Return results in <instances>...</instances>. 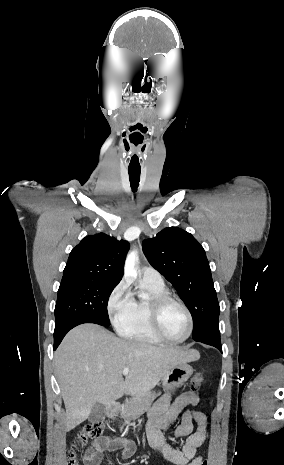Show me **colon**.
<instances>
[{"mask_svg": "<svg viewBox=\"0 0 284 465\" xmlns=\"http://www.w3.org/2000/svg\"><path fill=\"white\" fill-rule=\"evenodd\" d=\"M204 382V376L202 373H196L193 377L194 387H198ZM103 432V425L96 424L92 426L85 427L78 431L77 435L74 438V443L78 444L81 441H88L89 439L96 438ZM68 465H80L79 455L77 451H73L71 459L67 463ZM200 465H208V462H200Z\"/></svg>", "mask_w": 284, "mask_h": 465, "instance_id": "1", "label": "colon"}]
</instances>
